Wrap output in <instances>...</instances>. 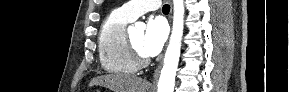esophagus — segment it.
I'll use <instances>...</instances> for the list:
<instances>
[{
	"mask_svg": "<svg viewBox=\"0 0 289 92\" xmlns=\"http://www.w3.org/2000/svg\"><path fill=\"white\" fill-rule=\"evenodd\" d=\"M161 65H162V62L159 64V66L156 68V70L154 71V74H153V86L154 87L156 86L157 81H158V76H159V72L161 69Z\"/></svg>",
	"mask_w": 289,
	"mask_h": 92,
	"instance_id": "esophagus-1",
	"label": "esophagus"
}]
</instances>
